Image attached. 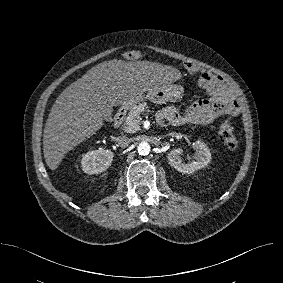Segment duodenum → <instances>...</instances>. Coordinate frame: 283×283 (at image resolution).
<instances>
[{
	"label": "duodenum",
	"instance_id": "duodenum-1",
	"mask_svg": "<svg viewBox=\"0 0 283 283\" xmlns=\"http://www.w3.org/2000/svg\"><path fill=\"white\" fill-rule=\"evenodd\" d=\"M126 113H127L126 106H122L116 111V113L113 117L114 126H118V125L121 124V122L124 120V118L126 116Z\"/></svg>",
	"mask_w": 283,
	"mask_h": 283
}]
</instances>
